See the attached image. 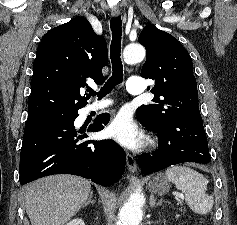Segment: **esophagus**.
Returning <instances> with one entry per match:
<instances>
[{
	"label": "esophagus",
	"instance_id": "obj_1",
	"mask_svg": "<svg viewBox=\"0 0 237 225\" xmlns=\"http://www.w3.org/2000/svg\"><path fill=\"white\" fill-rule=\"evenodd\" d=\"M111 15L113 17H117L120 15V11L117 9H113L111 11ZM126 163H127V166H128V169L130 172H132V173L136 172V170H137L136 161H135L134 157L129 152H126Z\"/></svg>",
	"mask_w": 237,
	"mask_h": 225
}]
</instances>
